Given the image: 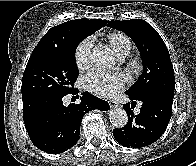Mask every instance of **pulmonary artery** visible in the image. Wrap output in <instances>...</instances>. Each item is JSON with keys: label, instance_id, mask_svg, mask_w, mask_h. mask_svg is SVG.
I'll return each instance as SVG.
<instances>
[{"label": "pulmonary artery", "instance_id": "1", "mask_svg": "<svg viewBox=\"0 0 196 166\" xmlns=\"http://www.w3.org/2000/svg\"><path fill=\"white\" fill-rule=\"evenodd\" d=\"M127 53H125V54H122V55H119L118 57L121 59V60H123V59H125L126 57H127Z\"/></svg>", "mask_w": 196, "mask_h": 166}]
</instances>
